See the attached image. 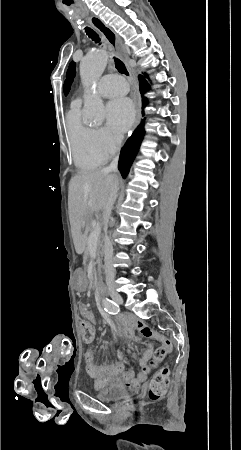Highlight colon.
<instances>
[{
	"instance_id": "obj_1",
	"label": "colon",
	"mask_w": 241,
	"mask_h": 450,
	"mask_svg": "<svg viewBox=\"0 0 241 450\" xmlns=\"http://www.w3.org/2000/svg\"><path fill=\"white\" fill-rule=\"evenodd\" d=\"M79 335L82 340L86 344H91L93 340L97 339V332L93 331L92 323H85L84 325L79 326ZM168 353L166 348H159L157 350L156 357L153 358V366H158L159 361L165 357ZM169 385V371L168 369H164L163 371L158 372L150 381L148 386L147 398L151 402L158 401L162 399Z\"/></svg>"
}]
</instances>
